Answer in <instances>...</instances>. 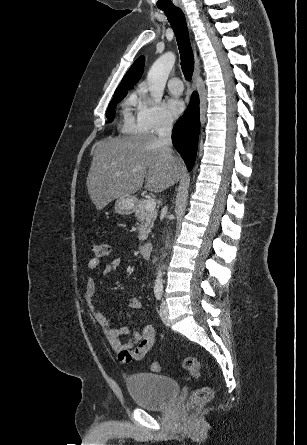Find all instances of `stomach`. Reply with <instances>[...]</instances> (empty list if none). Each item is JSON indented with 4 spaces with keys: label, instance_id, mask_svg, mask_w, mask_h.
Here are the masks:
<instances>
[{
    "label": "stomach",
    "instance_id": "1",
    "mask_svg": "<svg viewBox=\"0 0 307 445\" xmlns=\"http://www.w3.org/2000/svg\"><path fill=\"white\" fill-rule=\"evenodd\" d=\"M136 206L134 196H119L115 200V210L118 214H131Z\"/></svg>",
    "mask_w": 307,
    "mask_h": 445
}]
</instances>
